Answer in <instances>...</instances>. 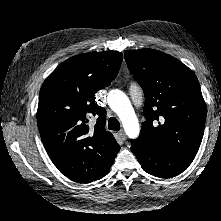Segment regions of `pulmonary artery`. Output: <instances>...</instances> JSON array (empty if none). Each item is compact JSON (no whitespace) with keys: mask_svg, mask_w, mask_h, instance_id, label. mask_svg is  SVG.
<instances>
[{"mask_svg":"<svg viewBox=\"0 0 221 221\" xmlns=\"http://www.w3.org/2000/svg\"><path fill=\"white\" fill-rule=\"evenodd\" d=\"M129 93L132 97H135V98L142 95V88H141L140 84L137 82H130Z\"/></svg>","mask_w":221,"mask_h":221,"instance_id":"obj_1","label":"pulmonary artery"}]
</instances>
